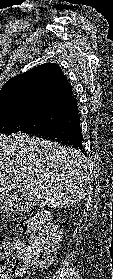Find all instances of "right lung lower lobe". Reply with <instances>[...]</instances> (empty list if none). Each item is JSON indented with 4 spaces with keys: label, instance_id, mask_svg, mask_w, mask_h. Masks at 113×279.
Instances as JSON below:
<instances>
[{
    "label": "right lung lower lobe",
    "instance_id": "98d812e1",
    "mask_svg": "<svg viewBox=\"0 0 113 279\" xmlns=\"http://www.w3.org/2000/svg\"><path fill=\"white\" fill-rule=\"evenodd\" d=\"M39 138L54 140L65 143L66 145H73L74 148H80L82 152L86 153L83 147V134L78 115V108L69 113V117L57 124L49 125L39 129L33 133Z\"/></svg>",
    "mask_w": 113,
    "mask_h": 279
}]
</instances>
